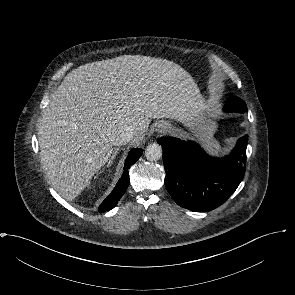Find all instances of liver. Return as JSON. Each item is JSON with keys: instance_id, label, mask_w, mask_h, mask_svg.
I'll return each mask as SVG.
<instances>
[{"instance_id": "obj_1", "label": "liver", "mask_w": 295, "mask_h": 295, "mask_svg": "<svg viewBox=\"0 0 295 295\" xmlns=\"http://www.w3.org/2000/svg\"><path fill=\"white\" fill-rule=\"evenodd\" d=\"M209 110L192 76L172 61L123 55L88 63L68 73L50 97L38 125L41 162L53 188L72 201L109 160L122 132L133 130L138 143L150 119L193 125Z\"/></svg>"}]
</instances>
